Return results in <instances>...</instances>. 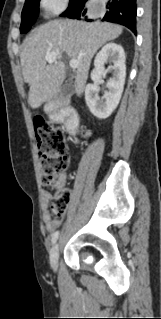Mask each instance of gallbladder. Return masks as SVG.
<instances>
[{"label": "gallbladder", "instance_id": "obj_1", "mask_svg": "<svg viewBox=\"0 0 161 319\" xmlns=\"http://www.w3.org/2000/svg\"><path fill=\"white\" fill-rule=\"evenodd\" d=\"M61 96L67 97L73 92V86L72 85H65L61 88Z\"/></svg>", "mask_w": 161, "mask_h": 319}]
</instances>
